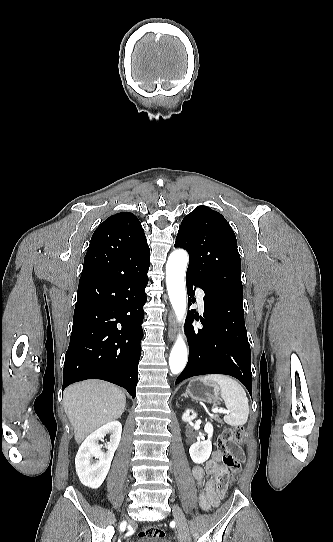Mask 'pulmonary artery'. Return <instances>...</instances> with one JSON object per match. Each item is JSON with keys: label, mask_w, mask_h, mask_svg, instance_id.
Listing matches in <instances>:
<instances>
[{"label": "pulmonary artery", "mask_w": 333, "mask_h": 542, "mask_svg": "<svg viewBox=\"0 0 333 542\" xmlns=\"http://www.w3.org/2000/svg\"><path fill=\"white\" fill-rule=\"evenodd\" d=\"M195 294H196V295H201V294H202V289H201V288H196V289H195ZM167 296H168V295H165L164 297L167 298ZM198 304H199L200 306H202V304H203V300H202L201 297L198 298Z\"/></svg>", "instance_id": "obj_1"}]
</instances>
